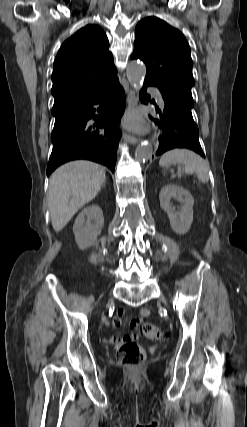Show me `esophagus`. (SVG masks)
I'll use <instances>...</instances> for the list:
<instances>
[{"instance_id": "1", "label": "esophagus", "mask_w": 247, "mask_h": 427, "mask_svg": "<svg viewBox=\"0 0 247 427\" xmlns=\"http://www.w3.org/2000/svg\"><path fill=\"white\" fill-rule=\"evenodd\" d=\"M138 104V98L136 96V93L134 90H129L127 95V105H128V111H131L134 109ZM126 140L131 144H136L139 142V138L135 137L132 134H128L126 136Z\"/></svg>"}]
</instances>
